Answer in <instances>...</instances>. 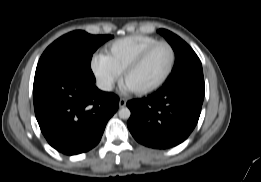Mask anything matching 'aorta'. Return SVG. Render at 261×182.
Wrapping results in <instances>:
<instances>
[{"mask_svg":"<svg viewBox=\"0 0 261 182\" xmlns=\"http://www.w3.org/2000/svg\"><path fill=\"white\" fill-rule=\"evenodd\" d=\"M130 115L131 112L127 107H123L119 110V117L121 119H129Z\"/></svg>","mask_w":261,"mask_h":182,"instance_id":"762f6f07","label":"aorta"}]
</instances>
